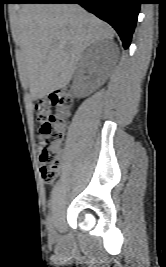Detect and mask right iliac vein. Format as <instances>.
Masks as SVG:
<instances>
[{"label":"right iliac vein","mask_w":166,"mask_h":267,"mask_svg":"<svg viewBox=\"0 0 166 267\" xmlns=\"http://www.w3.org/2000/svg\"><path fill=\"white\" fill-rule=\"evenodd\" d=\"M57 237L56 231L54 228H52L51 230H49V239L50 240H55Z\"/></svg>","instance_id":"1"}]
</instances>
